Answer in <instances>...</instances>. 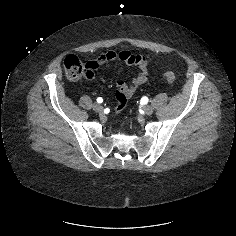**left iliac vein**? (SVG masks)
Instances as JSON below:
<instances>
[{"mask_svg":"<svg viewBox=\"0 0 236 236\" xmlns=\"http://www.w3.org/2000/svg\"><path fill=\"white\" fill-rule=\"evenodd\" d=\"M143 111L146 115H151L153 113V108L150 105L143 106Z\"/></svg>","mask_w":236,"mask_h":236,"instance_id":"left-iliac-vein-1","label":"left iliac vein"}]
</instances>
